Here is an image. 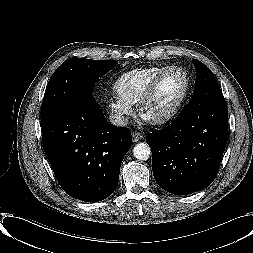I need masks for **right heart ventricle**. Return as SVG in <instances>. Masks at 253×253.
<instances>
[{
	"label": "right heart ventricle",
	"mask_w": 253,
	"mask_h": 253,
	"mask_svg": "<svg viewBox=\"0 0 253 253\" xmlns=\"http://www.w3.org/2000/svg\"><path fill=\"white\" fill-rule=\"evenodd\" d=\"M169 67L153 66L123 73L114 85L117 96L130 105L138 103L151 81Z\"/></svg>",
	"instance_id": "1"
}]
</instances>
